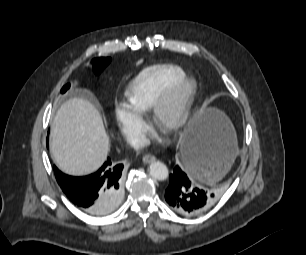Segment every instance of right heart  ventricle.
<instances>
[{
    "mask_svg": "<svg viewBox=\"0 0 306 255\" xmlns=\"http://www.w3.org/2000/svg\"><path fill=\"white\" fill-rule=\"evenodd\" d=\"M185 77V72L173 64L149 66L139 72L129 83L126 89L129 105L137 113L145 114L163 94Z\"/></svg>",
    "mask_w": 306,
    "mask_h": 255,
    "instance_id": "obj_1",
    "label": "right heart ventricle"
}]
</instances>
